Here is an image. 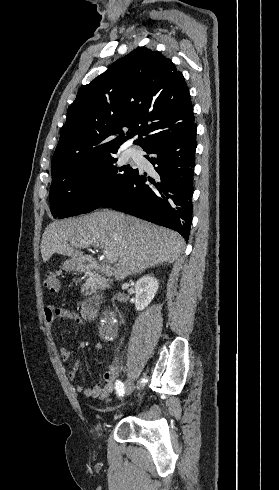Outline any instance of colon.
Returning a JSON list of instances; mask_svg holds the SVG:
<instances>
[{"label":"colon","mask_w":279,"mask_h":490,"mask_svg":"<svg viewBox=\"0 0 279 490\" xmlns=\"http://www.w3.org/2000/svg\"><path fill=\"white\" fill-rule=\"evenodd\" d=\"M43 286L51 293L60 291V278L57 274H48L43 280Z\"/></svg>","instance_id":"colon-1"}]
</instances>
